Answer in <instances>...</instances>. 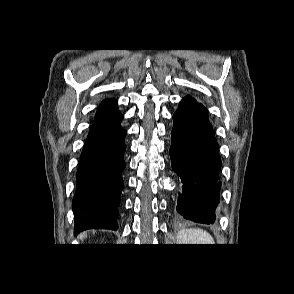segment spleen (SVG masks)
Listing matches in <instances>:
<instances>
[{"mask_svg":"<svg viewBox=\"0 0 294 294\" xmlns=\"http://www.w3.org/2000/svg\"><path fill=\"white\" fill-rule=\"evenodd\" d=\"M179 244H215L213 237L203 229H183L177 235Z\"/></svg>","mask_w":294,"mask_h":294,"instance_id":"obj_1","label":"spleen"}]
</instances>
